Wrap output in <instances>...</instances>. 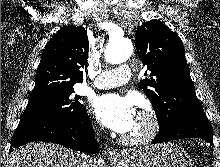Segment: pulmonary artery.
<instances>
[{
    "mask_svg": "<svg viewBox=\"0 0 220 167\" xmlns=\"http://www.w3.org/2000/svg\"><path fill=\"white\" fill-rule=\"evenodd\" d=\"M130 77V67L122 65L118 68L99 73L93 81V86L99 89L118 87L128 83Z\"/></svg>",
    "mask_w": 220,
    "mask_h": 167,
    "instance_id": "obj_1",
    "label": "pulmonary artery"
}]
</instances>
